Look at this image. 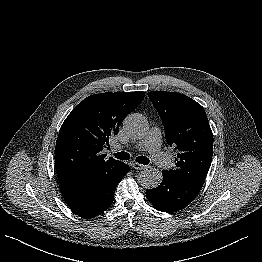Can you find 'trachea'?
<instances>
[{"label": "trachea", "mask_w": 262, "mask_h": 262, "mask_svg": "<svg viewBox=\"0 0 262 262\" xmlns=\"http://www.w3.org/2000/svg\"><path fill=\"white\" fill-rule=\"evenodd\" d=\"M114 156L115 158L119 160H129L130 159V155L127 152H117L114 154ZM136 162L147 165L149 164L150 160L145 156H138L136 158Z\"/></svg>", "instance_id": "obj_1"}]
</instances>
